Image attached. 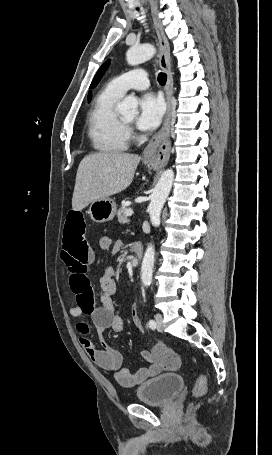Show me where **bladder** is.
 <instances>
[{
  "instance_id": "obj_1",
  "label": "bladder",
  "mask_w": 272,
  "mask_h": 455,
  "mask_svg": "<svg viewBox=\"0 0 272 455\" xmlns=\"http://www.w3.org/2000/svg\"><path fill=\"white\" fill-rule=\"evenodd\" d=\"M184 386L181 375L173 372L162 373L142 383L135 392L139 402L164 406L170 403Z\"/></svg>"
}]
</instances>
